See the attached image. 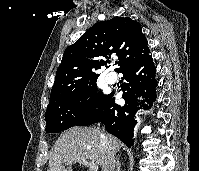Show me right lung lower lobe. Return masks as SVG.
<instances>
[{
  "label": "right lung lower lobe",
  "mask_w": 199,
  "mask_h": 171,
  "mask_svg": "<svg viewBox=\"0 0 199 171\" xmlns=\"http://www.w3.org/2000/svg\"><path fill=\"white\" fill-rule=\"evenodd\" d=\"M123 79L128 83L122 85V98L126 104L116 105L113 94L107 95L104 101L87 116L79 120L75 126H86L96 122H103L106 130L131 147L134 140L133 128L136 112L143 108H151L156 100L157 82L155 80L156 68L152 56L126 67L121 71ZM145 98L140 100V98ZM145 102L148 103L145 104Z\"/></svg>",
  "instance_id": "obj_1"
}]
</instances>
